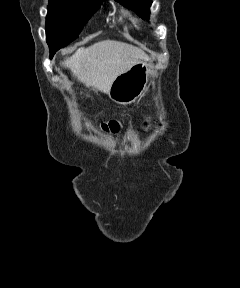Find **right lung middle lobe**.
Returning a JSON list of instances; mask_svg holds the SVG:
<instances>
[{
    "mask_svg": "<svg viewBox=\"0 0 240 288\" xmlns=\"http://www.w3.org/2000/svg\"><path fill=\"white\" fill-rule=\"evenodd\" d=\"M105 0H50L46 17V40L56 52L75 40L86 22Z\"/></svg>",
    "mask_w": 240,
    "mask_h": 288,
    "instance_id": "obj_1",
    "label": "right lung middle lobe"
}]
</instances>
